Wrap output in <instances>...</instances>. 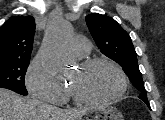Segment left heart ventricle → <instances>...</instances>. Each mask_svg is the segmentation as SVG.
I'll use <instances>...</instances> for the list:
<instances>
[{
  "instance_id": "left-heart-ventricle-1",
  "label": "left heart ventricle",
  "mask_w": 165,
  "mask_h": 120,
  "mask_svg": "<svg viewBox=\"0 0 165 120\" xmlns=\"http://www.w3.org/2000/svg\"><path fill=\"white\" fill-rule=\"evenodd\" d=\"M86 97L99 99L115 94L121 85L116 70L109 65L99 64L88 70H77L70 82Z\"/></svg>"
}]
</instances>
